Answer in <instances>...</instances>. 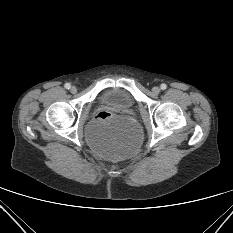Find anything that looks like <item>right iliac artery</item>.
I'll use <instances>...</instances> for the list:
<instances>
[{
	"label": "right iliac artery",
	"instance_id": "1",
	"mask_svg": "<svg viewBox=\"0 0 233 233\" xmlns=\"http://www.w3.org/2000/svg\"><path fill=\"white\" fill-rule=\"evenodd\" d=\"M64 86L66 89H70V87H71L70 83H66Z\"/></svg>",
	"mask_w": 233,
	"mask_h": 233
}]
</instances>
